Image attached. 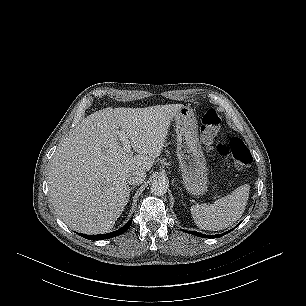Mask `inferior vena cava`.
Returning a JSON list of instances; mask_svg holds the SVG:
<instances>
[{"label": "inferior vena cava", "instance_id": "obj_1", "mask_svg": "<svg viewBox=\"0 0 306 306\" xmlns=\"http://www.w3.org/2000/svg\"><path fill=\"white\" fill-rule=\"evenodd\" d=\"M146 178V174L144 171L137 170L130 173L127 177V182L130 185H139L141 184Z\"/></svg>", "mask_w": 306, "mask_h": 306}]
</instances>
